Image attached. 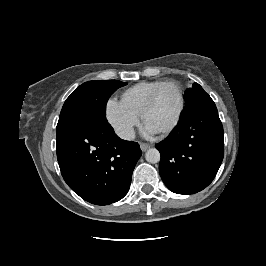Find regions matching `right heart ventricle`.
I'll return each mask as SVG.
<instances>
[{
  "label": "right heart ventricle",
  "mask_w": 266,
  "mask_h": 266,
  "mask_svg": "<svg viewBox=\"0 0 266 266\" xmlns=\"http://www.w3.org/2000/svg\"><path fill=\"white\" fill-rule=\"evenodd\" d=\"M164 81H142L126 89L122 101L134 112L141 114L142 109L152 92Z\"/></svg>",
  "instance_id": "e07e8e85"
}]
</instances>
